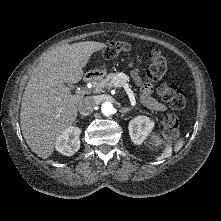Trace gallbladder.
Listing matches in <instances>:
<instances>
[{
  "mask_svg": "<svg viewBox=\"0 0 221 221\" xmlns=\"http://www.w3.org/2000/svg\"><path fill=\"white\" fill-rule=\"evenodd\" d=\"M70 88H72V86L71 85H68Z\"/></svg>",
  "mask_w": 221,
  "mask_h": 221,
  "instance_id": "bac80fb5",
  "label": "gallbladder"
}]
</instances>
